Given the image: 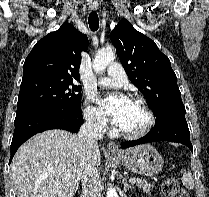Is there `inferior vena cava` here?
Listing matches in <instances>:
<instances>
[{"label": "inferior vena cava", "instance_id": "obj_1", "mask_svg": "<svg viewBox=\"0 0 209 197\" xmlns=\"http://www.w3.org/2000/svg\"><path fill=\"white\" fill-rule=\"evenodd\" d=\"M105 132L103 116L96 114L90 116L81 126L78 140L87 149V164L82 174L83 192L81 197H101L100 172L93 161V150L98 147L97 140L102 139Z\"/></svg>", "mask_w": 209, "mask_h": 197}]
</instances>
